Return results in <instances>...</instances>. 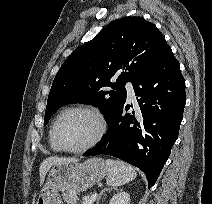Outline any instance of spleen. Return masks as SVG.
<instances>
[{
    "label": "spleen",
    "instance_id": "obj_1",
    "mask_svg": "<svg viewBox=\"0 0 212 204\" xmlns=\"http://www.w3.org/2000/svg\"><path fill=\"white\" fill-rule=\"evenodd\" d=\"M106 164L108 171L106 182L111 187L115 188L129 183L137 176L135 169L125 162L107 159Z\"/></svg>",
    "mask_w": 212,
    "mask_h": 204
}]
</instances>
